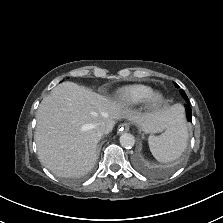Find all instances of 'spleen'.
I'll return each mask as SVG.
<instances>
[{
    "mask_svg": "<svg viewBox=\"0 0 223 223\" xmlns=\"http://www.w3.org/2000/svg\"><path fill=\"white\" fill-rule=\"evenodd\" d=\"M188 127L182 111H179L172 125L159 136L150 135L149 148L152 155L163 163H169L181 157L186 150Z\"/></svg>",
    "mask_w": 223,
    "mask_h": 223,
    "instance_id": "3e777b00",
    "label": "spleen"
}]
</instances>
